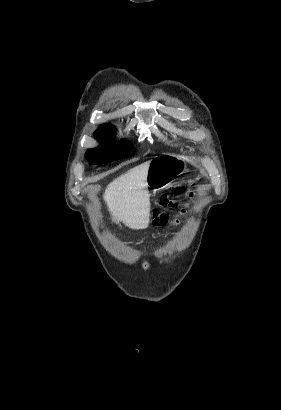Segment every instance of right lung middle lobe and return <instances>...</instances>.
I'll return each instance as SVG.
<instances>
[{"mask_svg": "<svg viewBox=\"0 0 281 410\" xmlns=\"http://www.w3.org/2000/svg\"><path fill=\"white\" fill-rule=\"evenodd\" d=\"M115 127L112 125H101L95 131V137L100 140H108L114 137ZM131 150L128 141H119L116 145L102 146L97 149H89L86 158L93 163H108L123 158Z\"/></svg>", "mask_w": 281, "mask_h": 410, "instance_id": "dd1d6c3e", "label": "right lung middle lobe"}]
</instances>
